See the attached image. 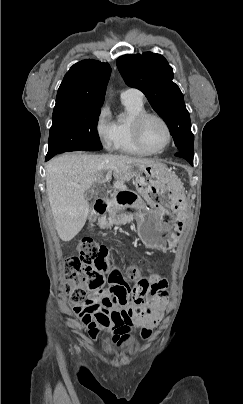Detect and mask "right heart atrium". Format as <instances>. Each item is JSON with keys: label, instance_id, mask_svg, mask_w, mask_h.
<instances>
[{"label": "right heart atrium", "instance_id": "right-heart-atrium-1", "mask_svg": "<svg viewBox=\"0 0 243 404\" xmlns=\"http://www.w3.org/2000/svg\"><path fill=\"white\" fill-rule=\"evenodd\" d=\"M94 131L101 148L109 153L117 151L115 123L108 106H101L94 119Z\"/></svg>", "mask_w": 243, "mask_h": 404}]
</instances>
